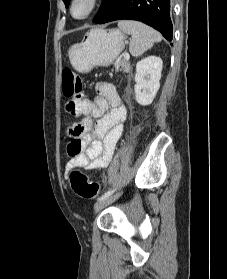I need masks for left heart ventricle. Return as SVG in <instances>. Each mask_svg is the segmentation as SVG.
<instances>
[{
  "label": "left heart ventricle",
  "mask_w": 227,
  "mask_h": 279,
  "mask_svg": "<svg viewBox=\"0 0 227 279\" xmlns=\"http://www.w3.org/2000/svg\"><path fill=\"white\" fill-rule=\"evenodd\" d=\"M87 10V0H78L74 5V15L82 16Z\"/></svg>",
  "instance_id": "obj_1"
}]
</instances>
